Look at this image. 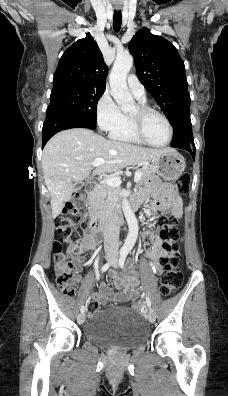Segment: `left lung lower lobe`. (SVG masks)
<instances>
[{
	"instance_id": "0a47b994",
	"label": "left lung lower lobe",
	"mask_w": 228,
	"mask_h": 396,
	"mask_svg": "<svg viewBox=\"0 0 228 396\" xmlns=\"http://www.w3.org/2000/svg\"><path fill=\"white\" fill-rule=\"evenodd\" d=\"M174 135L171 147L181 148L190 152L195 159V147L192 135V125L190 120V112L184 111L181 114V121L178 125L173 126Z\"/></svg>"
}]
</instances>
